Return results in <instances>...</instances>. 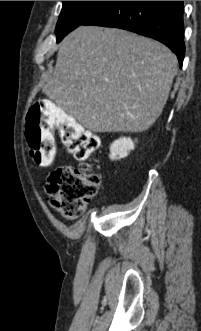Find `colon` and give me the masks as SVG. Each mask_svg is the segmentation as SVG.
I'll return each instance as SVG.
<instances>
[{
  "mask_svg": "<svg viewBox=\"0 0 201 331\" xmlns=\"http://www.w3.org/2000/svg\"><path fill=\"white\" fill-rule=\"evenodd\" d=\"M56 130L67 150L80 161L78 167L55 168L47 179L46 190L52 205L66 218L76 219L97 194L101 177L84 163L99 147L98 138L51 101L31 106L26 121L30 156L38 165H49L56 154L53 131Z\"/></svg>",
  "mask_w": 201,
  "mask_h": 331,
  "instance_id": "5ec220e1",
  "label": "colon"
}]
</instances>
